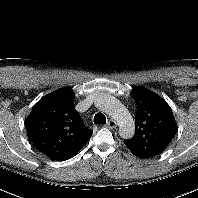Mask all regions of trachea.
Returning a JSON list of instances; mask_svg holds the SVG:
<instances>
[{
    "label": "trachea",
    "mask_w": 198,
    "mask_h": 198,
    "mask_svg": "<svg viewBox=\"0 0 198 198\" xmlns=\"http://www.w3.org/2000/svg\"><path fill=\"white\" fill-rule=\"evenodd\" d=\"M106 116L103 113H97L94 116V124H105Z\"/></svg>",
    "instance_id": "3493384b"
}]
</instances>
